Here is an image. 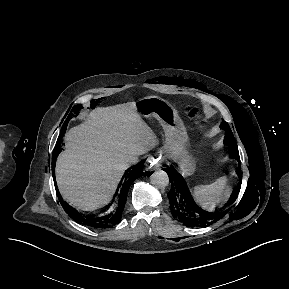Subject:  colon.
I'll use <instances>...</instances> for the list:
<instances>
[{"label":"colon","mask_w":289,"mask_h":289,"mask_svg":"<svg viewBox=\"0 0 289 289\" xmlns=\"http://www.w3.org/2000/svg\"><path fill=\"white\" fill-rule=\"evenodd\" d=\"M188 110H189L190 114H192V115L196 113V108L195 107L189 106Z\"/></svg>","instance_id":"obj_1"}]
</instances>
